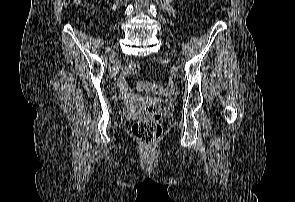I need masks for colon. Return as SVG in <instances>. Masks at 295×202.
<instances>
[{
    "mask_svg": "<svg viewBox=\"0 0 295 202\" xmlns=\"http://www.w3.org/2000/svg\"><path fill=\"white\" fill-rule=\"evenodd\" d=\"M140 69L141 67L137 62H131L128 65V73L131 76L138 75ZM137 88L140 91H153L156 94H163L165 91L164 87L147 81L139 82ZM160 118L161 107L158 104L154 103L153 107H145L141 117L132 127L133 136L145 145H152L160 138L162 133Z\"/></svg>",
    "mask_w": 295,
    "mask_h": 202,
    "instance_id": "obj_1",
    "label": "colon"
}]
</instances>
